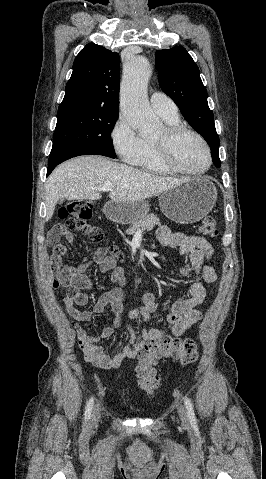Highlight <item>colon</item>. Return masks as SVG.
<instances>
[{
    "mask_svg": "<svg viewBox=\"0 0 266 479\" xmlns=\"http://www.w3.org/2000/svg\"><path fill=\"white\" fill-rule=\"evenodd\" d=\"M93 211V202L90 200H76L68 203L59 210V217L63 223L57 224L48 235V242L54 244L52 249L53 259L64 257L66 247L57 243L64 231L75 230L93 242L104 239L103 231L90 222ZM199 231L203 236L215 238L218 235L216 220L209 216L202 220ZM109 253L121 258L119 249L114 245L108 246ZM163 357H172L182 365L192 364L197 360L198 348L193 339H182L165 336L158 340L149 341L144 350L138 355L135 375L139 388L146 394L153 396L159 388V378L156 375V365Z\"/></svg>",
    "mask_w": 266,
    "mask_h": 479,
    "instance_id": "obj_1",
    "label": "colon"
}]
</instances>
